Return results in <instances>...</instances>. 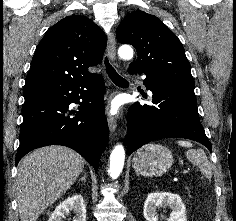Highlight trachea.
<instances>
[{"label":"trachea","mask_w":236,"mask_h":221,"mask_svg":"<svg viewBox=\"0 0 236 221\" xmlns=\"http://www.w3.org/2000/svg\"><path fill=\"white\" fill-rule=\"evenodd\" d=\"M104 64L106 67V72L109 76V78L116 84V85H128V81L125 80L124 78H122L117 72L116 70L112 67V65H110L108 58L106 57L104 60Z\"/></svg>","instance_id":"3493384b"}]
</instances>
